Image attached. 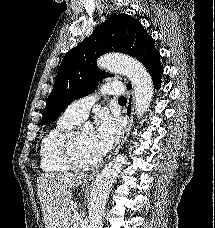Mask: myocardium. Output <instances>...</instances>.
<instances>
[{"mask_svg":"<svg viewBox=\"0 0 215 228\" xmlns=\"http://www.w3.org/2000/svg\"><path fill=\"white\" fill-rule=\"evenodd\" d=\"M83 127V125H76L67 131L58 141L57 153L61 161L69 168L88 171L98 168L102 164L103 158L100 157L92 163H82L77 159L74 146Z\"/></svg>","mask_w":215,"mask_h":228,"instance_id":"myocardium-1","label":"myocardium"}]
</instances>
